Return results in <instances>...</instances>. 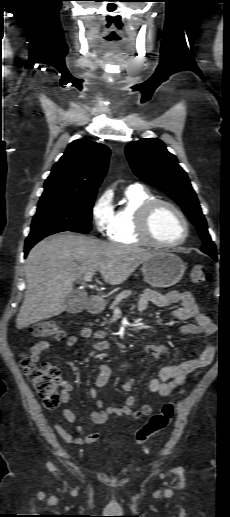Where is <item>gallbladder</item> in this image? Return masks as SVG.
Instances as JSON below:
<instances>
[{
  "mask_svg": "<svg viewBox=\"0 0 230 517\" xmlns=\"http://www.w3.org/2000/svg\"><path fill=\"white\" fill-rule=\"evenodd\" d=\"M88 295L84 291L73 290L66 297V311L69 313H79L81 312L87 303Z\"/></svg>",
  "mask_w": 230,
  "mask_h": 517,
  "instance_id": "gallbladder-1",
  "label": "gallbladder"
}]
</instances>
